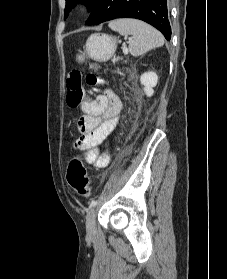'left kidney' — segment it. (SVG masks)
Segmentation results:
<instances>
[{"instance_id": "1", "label": "left kidney", "mask_w": 227, "mask_h": 279, "mask_svg": "<svg viewBox=\"0 0 227 279\" xmlns=\"http://www.w3.org/2000/svg\"><path fill=\"white\" fill-rule=\"evenodd\" d=\"M140 82L144 86L145 94L151 97L154 94L153 88L158 82V76L155 72H146L141 75Z\"/></svg>"}]
</instances>
